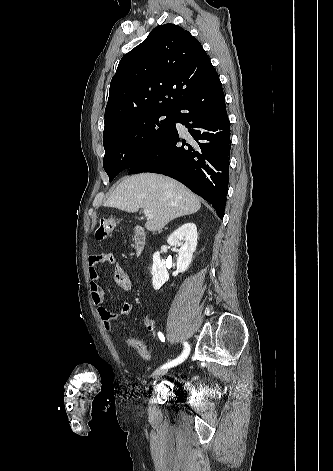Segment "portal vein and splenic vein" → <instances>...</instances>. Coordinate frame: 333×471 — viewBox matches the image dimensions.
I'll use <instances>...</instances> for the list:
<instances>
[{
    "mask_svg": "<svg viewBox=\"0 0 333 471\" xmlns=\"http://www.w3.org/2000/svg\"><path fill=\"white\" fill-rule=\"evenodd\" d=\"M144 215L147 216V217H150L151 216V211L148 210V209H144Z\"/></svg>",
    "mask_w": 333,
    "mask_h": 471,
    "instance_id": "1",
    "label": "portal vein and splenic vein"
}]
</instances>
